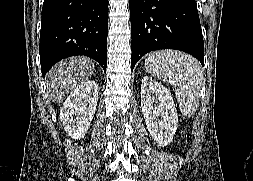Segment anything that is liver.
I'll use <instances>...</instances> for the list:
<instances>
[{
	"label": "liver",
	"instance_id": "liver-1",
	"mask_svg": "<svg viewBox=\"0 0 253 181\" xmlns=\"http://www.w3.org/2000/svg\"><path fill=\"white\" fill-rule=\"evenodd\" d=\"M93 72L94 63L86 57H71L55 65L48 74L55 101L61 103L70 90L86 82Z\"/></svg>",
	"mask_w": 253,
	"mask_h": 181
}]
</instances>
